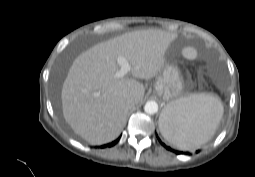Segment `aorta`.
I'll return each mask as SVG.
<instances>
[{
	"mask_svg": "<svg viewBox=\"0 0 255 177\" xmlns=\"http://www.w3.org/2000/svg\"><path fill=\"white\" fill-rule=\"evenodd\" d=\"M144 111L148 114H155L158 111V104L155 101H148L144 106Z\"/></svg>",
	"mask_w": 255,
	"mask_h": 177,
	"instance_id": "762f6f07",
	"label": "aorta"
}]
</instances>
